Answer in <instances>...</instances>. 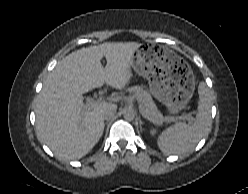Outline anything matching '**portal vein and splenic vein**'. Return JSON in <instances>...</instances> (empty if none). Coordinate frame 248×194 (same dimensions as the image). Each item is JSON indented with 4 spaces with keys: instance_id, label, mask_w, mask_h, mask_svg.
Listing matches in <instances>:
<instances>
[{
    "instance_id": "portal-vein-and-splenic-vein-1",
    "label": "portal vein and splenic vein",
    "mask_w": 248,
    "mask_h": 194,
    "mask_svg": "<svg viewBox=\"0 0 248 194\" xmlns=\"http://www.w3.org/2000/svg\"><path fill=\"white\" fill-rule=\"evenodd\" d=\"M104 101H105V98H104V97H100V98H99L98 100H96V101H95V100H90V101L87 103V107H88V108H93V107H95V106H97V105L103 103ZM139 111H140V113L143 115L144 118L148 119L149 121H151V122H153V123H156L154 120H152L151 118H149V117L147 116V114L145 113V111H144V109H143V107H142L141 104L139 105ZM183 118L186 119V120H188L189 123L192 122V119H191L190 116L183 117Z\"/></svg>"
}]
</instances>
